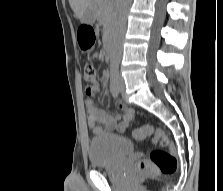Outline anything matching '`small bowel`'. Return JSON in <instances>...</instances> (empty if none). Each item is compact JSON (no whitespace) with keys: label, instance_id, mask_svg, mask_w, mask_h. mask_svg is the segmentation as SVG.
Here are the masks:
<instances>
[{"label":"small bowel","instance_id":"obj_1","mask_svg":"<svg viewBox=\"0 0 223 191\" xmlns=\"http://www.w3.org/2000/svg\"><path fill=\"white\" fill-rule=\"evenodd\" d=\"M98 57L99 59H103L104 55L100 53ZM100 90V85L94 83L87 85L85 92L88 96H93L98 94ZM118 107L121 113L111 116L99 109L92 98H88L85 101V110L87 112L88 126L91 131L96 135L102 134L104 130L107 132H124L133 119L134 110L122 103H118ZM100 124L104 125V130Z\"/></svg>","mask_w":223,"mask_h":191}]
</instances>
